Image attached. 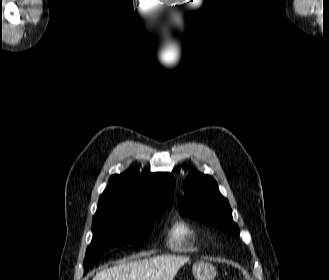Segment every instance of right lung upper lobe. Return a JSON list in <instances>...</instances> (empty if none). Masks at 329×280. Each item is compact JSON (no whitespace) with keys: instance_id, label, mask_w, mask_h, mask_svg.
I'll list each match as a JSON object with an SVG mask.
<instances>
[{"instance_id":"cb5924a9","label":"right lung upper lobe","mask_w":329,"mask_h":280,"mask_svg":"<svg viewBox=\"0 0 329 280\" xmlns=\"http://www.w3.org/2000/svg\"><path fill=\"white\" fill-rule=\"evenodd\" d=\"M175 179L169 173H134L126 171L111 176L108 187L99 198V204L121 202L148 208L155 202L170 201Z\"/></svg>"}]
</instances>
